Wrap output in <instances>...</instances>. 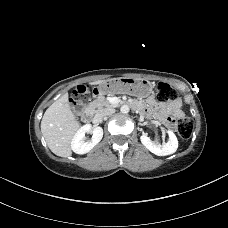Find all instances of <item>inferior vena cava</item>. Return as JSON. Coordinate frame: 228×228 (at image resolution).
Instances as JSON below:
<instances>
[{"mask_svg": "<svg viewBox=\"0 0 228 228\" xmlns=\"http://www.w3.org/2000/svg\"><path fill=\"white\" fill-rule=\"evenodd\" d=\"M115 112V109L108 108L96 115V119L101 120L103 117L110 116Z\"/></svg>", "mask_w": 228, "mask_h": 228, "instance_id": "602c4592", "label": "inferior vena cava"}]
</instances>
